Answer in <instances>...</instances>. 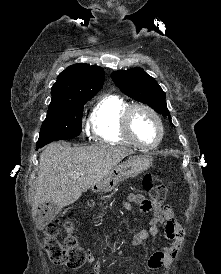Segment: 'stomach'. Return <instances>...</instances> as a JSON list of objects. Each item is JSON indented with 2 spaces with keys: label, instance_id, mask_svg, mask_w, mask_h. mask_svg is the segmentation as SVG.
Listing matches in <instances>:
<instances>
[{
  "label": "stomach",
  "instance_id": "stomach-1",
  "mask_svg": "<svg viewBox=\"0 0 221 274\" xmlns=\"http://www.w3.org/2000/svg\"><path fill=\"white\" fill-rule=\"evenodd\" d=\"M152 165V157L148 154L131 156L105 175L99 183L94 186V190L101 193H107L113 190L118 183L135 177Z\"/></svg>",
  "mask_w": 221,
  "mask_h": 274
}]
</instances>
